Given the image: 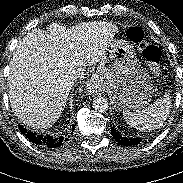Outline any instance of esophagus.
Returning <instances> with one entry per match:
<instances>
[{"instance_id":"1","label":"esophagus","mask_w":183,"mask_h":183,"mask_svg":"<svg viewBox=\"0 0 183 183\" xmlns=\"http://www.w3.org/2000/svg\"><path fill=\"white\" fill-rule=\"evenodd\" d=\"M88 86H89L88 89H89L90 93H93V94H94V93H97V91L100 90L99 84H98V81H97L96 78H92V79L90 80Z\"/></svg>"}]
</instances>
